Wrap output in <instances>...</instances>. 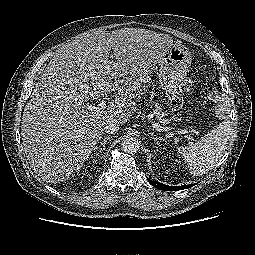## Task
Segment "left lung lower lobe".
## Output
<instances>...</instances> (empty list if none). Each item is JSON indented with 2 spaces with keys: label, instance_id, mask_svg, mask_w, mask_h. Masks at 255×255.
I'll return each instance as SVG.
<instances>
[{
  "label": "left lung lower lobe",
  "instance_id": "obj_1",
  "mask_svg": "<svg viewBox=\"0 0 255 255\" xmlns=\"http://www.w3.org/2000/svg\"><path fill=\"white\" fill-rule=\"evenodd\" d=\"M148 181L152 186H154L157 189L163 190V191L183 190V189L190 188L194 185V184H189V185H184V186H168V185L162 184L158 181H151L149 179H148Z\"/></svg>",
  "mask_w": 255,
  "mask_h": 255
}]
</instances>
